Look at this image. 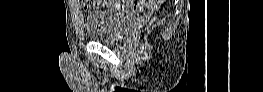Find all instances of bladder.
Listing matches in <instances>:
<instances>
[{"label": "bladder", "mask_w": 263, "mask_h": 92, "mask_svg": "<svg viewBox=\"0 0 263 92\" xmlns=\"http://www.w3.org/2000/svg\"><path fill=\"white\" fill-rule=\"evenodd\" d=\"M137 12L132 9L101 7L85 19V30L93 41L114 43L134 25Z\"/></svg>", "instance_id": "1"}]
</instances>
